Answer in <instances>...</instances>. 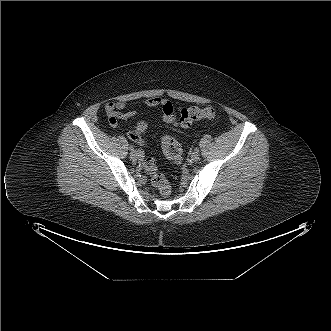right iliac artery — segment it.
<instances>
[{
  "label": "right iliac artery",
  "instance_id": "obj_1",
  "mask_svg": "<svg viewBox=\"0 0 331 331\" xmlns=\"http://www.w3.org/2000/svg\"><path fill=\"white\" fill-rule=\"evenodd\" d=\"M129 149H130L131 152H134V151H135V148H134L133 145H130V146H129Z\"/></svg>",
  "mask_w": 331,
  "mask_h": 331
}]
</instances>
